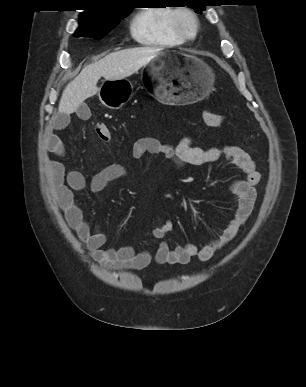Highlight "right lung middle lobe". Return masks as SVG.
<instances>
[{
	"label": "right lung middle lobe",
	"mask_w": 306,
	"mask_h": 387,
	"mask_svg": "<svg viewBox=\"0 0 306 387\" xmlns=\"http://www.w3.org/2000/svg\"><path fill=\"white\" fill-rule=\"evenodd\" d=\"M131 12L130 7H125L119 14L104 20H80L79 28L75 32L76 37H89L100 40L111 29H113L120 21Z\"/></svg>",
	"instance_id": "dd1d6c3e"
}]
</instances>
